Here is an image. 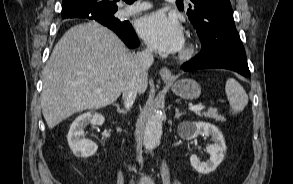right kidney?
Returning <instances> with one entry per match:
<instances>
[{"instance_id": "1", "label": "right kidney", "mask_w": 293, "mask_h": 184, "mask_svg": "<svg viewBox=\"0 0 293 184\" xmlns=\"http://www.w3.org/2000/svg\"><path fill=\"white\" fill-rule=\"evenodd\" d=\"M105 118L103 115L90 111L78 116L70 126V130L67 135V140L70 149L74 155L81 158H88L94 155L98 149V146L87 141L84 138V127L87 124L103 125Z\"/></svg>"}]
</instances>
